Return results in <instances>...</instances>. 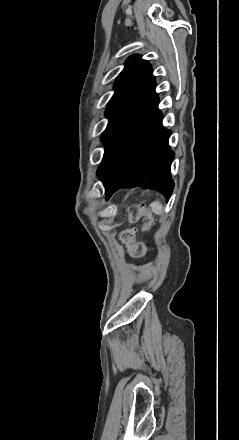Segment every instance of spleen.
Wrapping results in <instances>:
<instances>
[{"instance_id":"1","label":"spleen","mask_w":239,"mask_h":440,"mask_svg":"<svg viewBox=\"0 0 239 440\" xmlns=\"http://www.w3.org/2000/svg\"><path fill=\"white\" fill-rule=\"evenodd\" d=\"M150 208L152 212H154V214H158V216H160V214L163 212V206L160 204V202H152V204H150Z\"/></svg>"}]
</instances>
